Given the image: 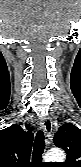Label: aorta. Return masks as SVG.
Instances as JSON below:
<instances>
[{
  "label": "aorta",
  "mask_w": 81,
  "mask_h": 167,
  "mask_svg": "<svg viewBox=\"0 0 81 167\" xmlns=\"http://www.w3.org/2000/svg\"><path fill=\"white\" fill-rule=\"evenodd\" d=\"M65 153L60 149H51L45 155L46 162H64Z\"/></svg>",
  "instance_id": "obj_1"
}]
</instances>
